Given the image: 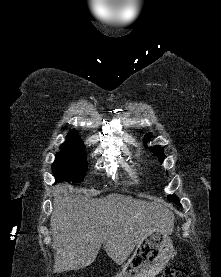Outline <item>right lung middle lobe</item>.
I'll return each mask as SVG.
<instances>
[{
    "instance_id": "right-lung-middle-lobe-1",
    "label": "right lung middle lobe",
    "mask_w": 221,
    "mask_h": 277,
    "mask_svg": "<svg viewBox=\"0 0 221 277\" xmlns=\"http://www.w3.org/2000/svg\"><path fill=\"white\" fill-rule=\"evenodd\" d=\"M57 181L82 182L87 171L84 144L81 140H66L52 165Z\"/></svg>"
}]
</instances>
